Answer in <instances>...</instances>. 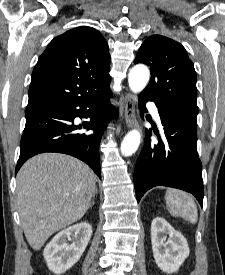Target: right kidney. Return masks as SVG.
Masks as SVG:
<instances>
[{
	"mask_svg": "<svg viewBox=\"0 0 225 275\" xmlns=\"http://www.w3.org/2000/svg\"><path fill=\"white\" fill-rule=\"evenodd\" d=\"M92 235V226L81 222L60 231L46 245L43 255L50 271L60 275L78 262ZM73 240L71 244L68 241Z\"/></svg>",
	"mask_w": 225,
	"mask_h": 275,
	"instance_id": "obj_1",
	"label": "right kidney"
}]
</instances>
